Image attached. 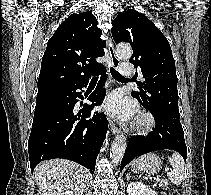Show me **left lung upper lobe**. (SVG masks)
<instances>
[{
	"mask_svg": "<svg viewBox=\"0 0 211 195\" xmlns=\"http://www.w3.org/2000/svg\"><path fill=\"white\" fill-rule=\"evenodd\" d=\"M116 43L128 42L133 49L129 62L140 68L144 82L131 95L148 110L180 117L175 61L162 32L146 16L129 9L112 22Z\"/></svg>",
	"mask_w": 211,
	"mask_h": 195,
	"instance_id": "5c2ea615",
	"label": "left lung upper lobe"
}]
</instances>
